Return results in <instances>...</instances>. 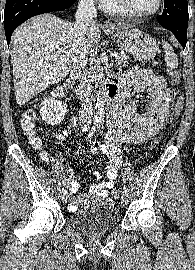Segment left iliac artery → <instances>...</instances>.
Segmentation results:
<instances>
[{"label":"left iliac artery","mask_w":195,"mask_h":270,"mask_svg":"<svg viewBox=\"0 0 195 270\" xmlns=\"http://www.w3.org/2000/svg\"><path fill=\"white\" fill-rule=\"evenodd\" d=\"M125 192H128V187L126 185L123 186Z\"/></svg>","instance_id":"1"}]
</instances>
